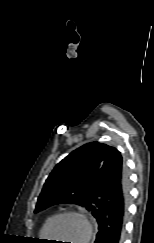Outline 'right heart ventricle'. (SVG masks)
I'll return each instance as SVG.
<instances>
[{"instance_id": "right-heart-ventricle-1", "label": "right heart ventricle", "mask_w": 154, "mask_h": 243, "mask_svg": "<svg viewBox=\"0 0 154 243\" xmlns=\"http://www.w3.org/2000/svg\"><path fill=\"white\" fill-rule=\"evenodd\" d=\"M49 219H50V217H48V218L45 220V222H44V224H43V226H42V228H41V231H40V235H41L43 238L46 237V235H45V228H46V225H47V222L49 221Z\"/></svg>"}]
</instances>
